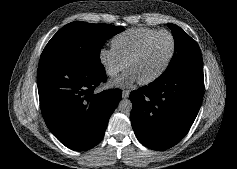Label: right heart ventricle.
Wrapping results in <instances>:
<instances>
[{
  "label": "right heart ventricle",
  "instance_id": "obj_1",
  "mask_svg": "<svg viewBox=\"0 0 237 169\" xmlns=\"http://www.w3.org/2000/svg\"><path fill=\"white\" fill-rule=\"evenodd\" d=\"M157 32L152 28H133L116 35L112 40V48L127 62L141 43Z\"/></svg>",
  "mask_w": 237,
  "mask_h": 169
}]
</instances>
